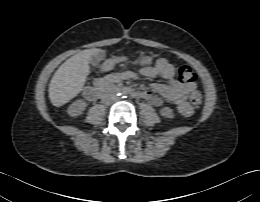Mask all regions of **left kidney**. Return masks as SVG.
<instances>
[{
	"mask_svg": "<svg viewBox=\"0 0 260 202\" xmlns=\"http://www.w3.org/2000/svg\"><path fill=\"white\" fill-rule=\"evenodd\" d=\"M161 116L169 119H173L175 117V114L173 110L169 107H163L160 109Z\"/></svg>",
	"mask_w": 260,
	"mask_h": 202,
	"instance_id": "1",
	"label": "left kidney"
}]
</instances>
